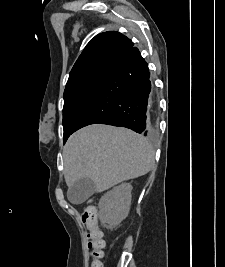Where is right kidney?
<instances>
[{
  "label": "right kidney",
  "mask_w": 225,
  "mask_h": 267,
  "mask_svg": "<svg viewBox=\"0 0 225 267\" xmlns=\"http://www.w3.org/2000/svg\"><path fill=\"white\" fill-rule=\"evenodd\" d=\"M132 185L123 183L104 194L99 202V218L109 229L124 220L130 210Z\"/></svg>",
  "instance_id": "ca27d5eb"
}]
</instances>
